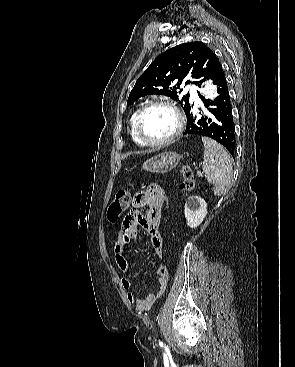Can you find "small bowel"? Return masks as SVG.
Here are the masks:
<instances>
[{"instance_id":"small-bowel-1","label":"small bowel","mask_w":295,"mask_h":367,"mask_svg":"<svg viewBox=\"0 0 295 367\" xmlns=\"http://www.w3.org/2000/svg\"><path fill=\"white\" fill-rule=\"evenodd\" d=\"M164 190L157 184H151L144 191L138 192L132 201V211L125 217L118 232L114 244V258L117 267L122 272L129 270V263L124 254V247L127 239H134L137 236L138 228L141 226L150 236L151 244L156 254L163 256V238L160 232V222L163 208ZM147 208L146 214L140 209ZM158 292H149L143 296H137L133 292L127 293V300L133 304L140 313L149 311L157 299H159L168 285L169 273L166 266L161 265L156 269ZM121 285L125 290H129L131 282L128 278L121 279Z\"/></svg>"}]
</instances>
